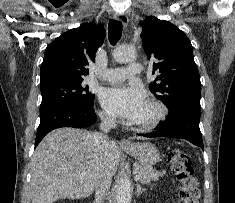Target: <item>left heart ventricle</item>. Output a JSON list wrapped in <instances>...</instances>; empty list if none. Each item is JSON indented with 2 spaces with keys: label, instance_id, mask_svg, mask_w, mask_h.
I'll return each instance as SVG.
<instances>
[{
  "label": "left heart ventricle",
  "instance_id": "1",
  "mask_svg": "<svg viewBox=\"0 0 235 203\" xmlns=\"http://www.w3.org/2000/svg\"><path fill=\"white\" fill-rule=\"evenodd\" d=\"M153 115H154V109L146 105L143 112L141 113L139 118L135 121V123L147 121L150 118H152Z\"/></svg>",
  "mask_w": 235,
  "mask_h": 203
}]
</instances>
